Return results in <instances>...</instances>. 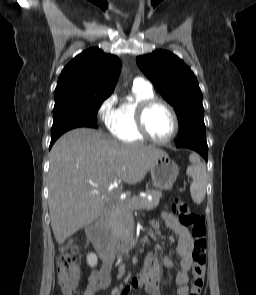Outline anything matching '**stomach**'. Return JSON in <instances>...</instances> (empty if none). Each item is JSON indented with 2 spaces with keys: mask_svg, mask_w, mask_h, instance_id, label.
<instances>
[{
  "mask_svg": "<svg viewBox=\"0 0 256 295\" xmlns=\"http://www.w3.org/2000/svg\"><path fill=\"white\" fill-rule=\"evenodd\" d=\"M150 173L155 187L170 190L177 179L179 168L165 153L155 160L150 168Z\"/></svg>",
  "mask_w": 256,
  "mask_h": 295,
  "instance_id": "1",
  "label": "stomach"
}]
</instances>
